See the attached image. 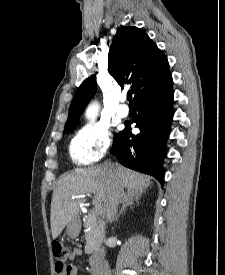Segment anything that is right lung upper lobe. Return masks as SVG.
I'll return each instance as SVG.
<instances>
[{
  "label": "right lung upper lobe",
  "mask_w": 225,
  "mask_h": 275,
  "mask_svg": "<svg viewBox=\"0 0 225 275\" xmlns=\"http://www.w3.org/2000/svg\"><path fill=\"white\" fill-rule=\"evenodd\" d=\"M108 71L123 88L130 85L134 100L159 88L170 76L165 54L149 36L137 27H122L113 38L108 54ZM96 91V76L86 79L72 100L65 127L78 123L89 100Z\"/></svg>",
  "instance_id": "obj_1"
}]
</instances>
